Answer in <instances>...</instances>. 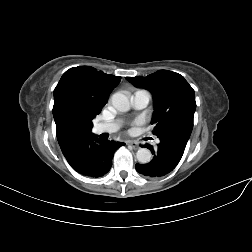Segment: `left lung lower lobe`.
<instances>
[{"label":"left lung lower lobe","instance_id":"left-lung-lower-lobe-1","mask_svg":"<svg viewBox=\"0 0 252 252\" xmlns=\"http://www.w3.org/2000/svg\"><path fill=\"white\" fill-rule=\"evenodd\" d=\"M158 138L160 143L156 148L149 144L145 145L154 155L152 161L136 164L137 172L146 177H161L173 171L181 160L189 140L180 134H166Z\"/></svg>","mask_w":252,"mask_h":252}]
</instances>
